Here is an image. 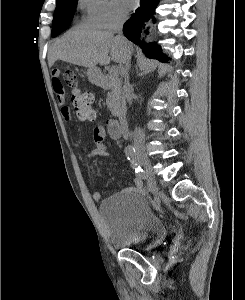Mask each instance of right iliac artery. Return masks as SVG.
Here are the masks:
<instances>
[{
  "mask_svg": "<svg viewBox=\"0 0 245 300\" xmlns=\"http://www.w3.org/2000/svg\"><path fill=\"white\" fill-rule=\"evenodd\" d=\"M125 154L127 156V159L131 162L135 173L138 175L139 178L143 179V182H146V184L148 185V191H151L152 194H155L156 186H153V182H151V177H145L143 169L137 162V154L135 148L133 146H127L125 148Z\"/></svg>",
  "mask_w": 245,
  "mask_h": 300,
  "instance_id": "obj_1",
  "label": "right iliac artery"
}]
</instances>
